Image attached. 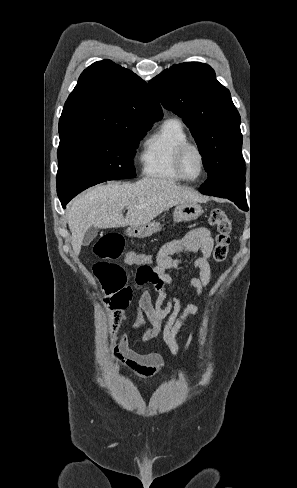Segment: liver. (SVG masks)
<instances>
[{
  "label": "liver",
  "instance_id": "1",
  "mask_svg": "<svg viewBox=\"0 0 297 488\" xmlns=\"http://www.w3.org/2000/svg\"><path fill=\"white\" fill-rule=\"evenodd\" d=\"M203 197L171 180L143 178L134 184L109 182L76 197L68 209L73 251L79 255L86 231L91 226L106 229L139 226L151 222L169 208ZM127 208L124 217L122 210Z\"/></svg>",
  "mask_w": 297,
  "mask_h": 488
}]
</instances>
